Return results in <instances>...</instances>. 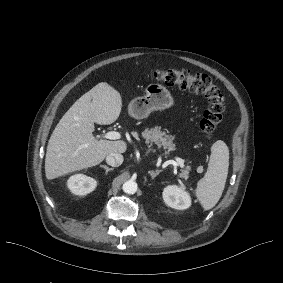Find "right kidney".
<instances>
[{
    "label": "right kidney",
    "instance_id": "obj_1",
    "mask_svg": "<svg viewBox=\"0 0 283 283\" xmlns=\"http://www.w3.org/2000/svg\"><path fill=\"white\" fill-rule=\"evenodd\" d=\"M67 186L73 194L83 196L96 188L97 181L86 175L76 174L68 179Z\"/></svg>",
    "mask_w": 283,
    "mask_h": 283
}]
</instances>
